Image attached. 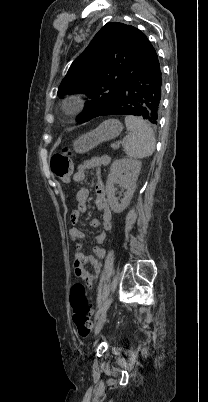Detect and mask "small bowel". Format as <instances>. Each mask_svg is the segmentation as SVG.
Listing matches in <instances>:
<instances>
[{
  "instance_id": "1",
  "label": "small bowel",
  "mask_w": 208,
  "mask_h": 402,
  "mask_svg": "<svg viewBox=\"0 0 208 402\" xmlns=\"http://www.w3.org/2000/svg\"><path fill=\"white\" fill-rule=\"evenodd\" d=\"M109 163L110 158L108 156H96L89 158L77 167L73 174V180L78 183L84 182L87 178L88 170H99L100 167L106 166ZM95 190L97 194L96 204L98 209L101 211V221L98 219H93L90 222V226L92 228H97L98 226L102 225L103 232L97 237V242L100 244L105 240L106 234L111 232L113 229V216L106 201L104 181L99 172H97L95 178ZM88 196V188L83 187L77 190L75 194L77 209L70 215L72 224L76 225L79 222L80 215L86 212ZM70 238L74 242L80 241L84 238V233L79 228L73 227L70 230ZM94 254V257L85 255L79 246H76L73 251L75 272L90 286L95 282L98 274L101 271L102 265L100 259L105 256V249L101 246H96L94 248ZM87 264L91 265L92 272L86 268Z\"/></svg>"
}]
</instances>
